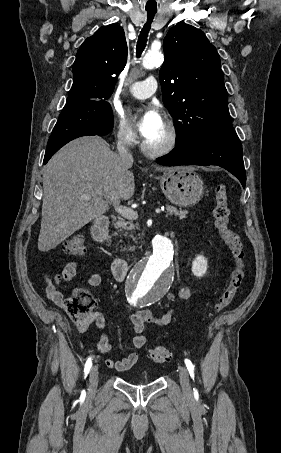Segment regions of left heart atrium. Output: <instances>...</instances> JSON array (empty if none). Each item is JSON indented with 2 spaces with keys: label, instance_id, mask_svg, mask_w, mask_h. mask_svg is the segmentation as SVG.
<instances>
[{
  "label": "left heart atrium",
  "instance_id": "left-heart-atrium-1",
  "mask_svg": "<svg viewBox=\"0 0 281 453\" xmlns=\"http://www.w3.org/2000/svg\"><path fill=\"white\" fill-rule=\"evenodd\" d=\"M163 123V118L156 105L148 106L139 117L138 127L143 138L148 137Z\"/></svg>",
  "mask_w": 281,
  "mask_h": 453
}]
</instances>
